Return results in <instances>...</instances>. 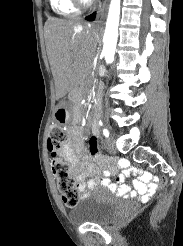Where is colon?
Instances as JSON below:
<instances>
[{
	"label": "colon",
	"instance_id": "5ec220e1",
	"mask_svg": "<svg viewBox=\"0 0 183 246\" xmlns=\"http://www.w3.org/2000/svg\"><path fill=\"white\" fill-rule=\"evenodd\" d=\"M56 119L63 123L66 119V110L59 107ZM66 140V134L61 126L54 125L49 129L48 149L52 154V173L56 179L58 191L63 203L70 208L78 205L80 197L76 180L70 174L69 164L58 156V151ZM86 146L90 154L94 157L102 156V150L98 149L96 138L91 137L86 141ZM101 153V154H100ZM158 187H163L166 183L164 179L157 182Z\"/></svg>",
	"mask_w": 183,
	"mask_h": 246
}]
</instances>
